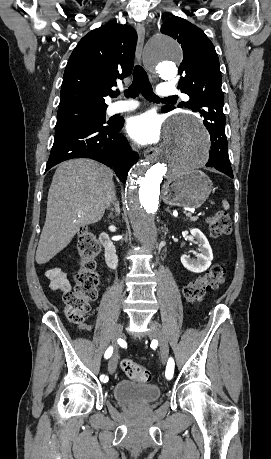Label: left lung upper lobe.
I'll return each instance as SVG.
<instances>
[{
	"instance_id": "1",
	"label": "left lung upper lobe",
	"mask_w": 271,
	"mask_h": 459,
	"mask_svg": "<svg viewBox=\"0 0 271 459\" xmlns=\"http://www.w3.org/2000/svg\"><path fill=\"white\" fill-rule=\"evenodd\" d=\"M161 33L176 39L183 49L178 87L190 100L179 107L200 112L204 117H225L219 59L205 33L187 20L172 16L161 26ZM174 109L168 106L163 112Z\"/></svg>"
}]
</instances>
